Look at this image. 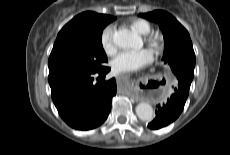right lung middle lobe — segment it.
<instances>
[{
  "label": "right lung middle lobe",
  "mask_w": 230,
  "mask_h": 155,
  "mask_svg": "<svg viewBox=\"0 0 230 155\" xmlns=\"http://www.w3.org/2000/svg\"><path fill=\"white\" fill-rule=\"evenodd\" d=\"M102 30L86 38H62L55 41L49 57V74L72 71H98L107 62Z\"/></svg>",
  "instance_id": "dd1d6c3e"
}]
</instances>
